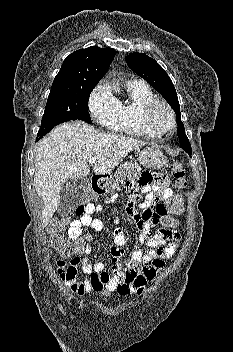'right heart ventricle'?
I'll list each match as a JSON object with an SVG mask.
<instances>
[{
  "instance_id": "1",
  "label": "right heart ventricle",
  "mask_w": 233,
  "mask_h": 352,
  "mask_svg": "<svg viewBox=\"0 0 233 352\" xmlns=\"http://www.w3.org/2000/svg\"><path fill=\"white\" fill-rule=\"evenodd\" d=\"M129 101L120 103L118 132L122 134L150 137L144 130L140 121V114L143 106L155 96L151 88L142 81L129 82L127 85Z\"/></svg>"
}]
</instances>
